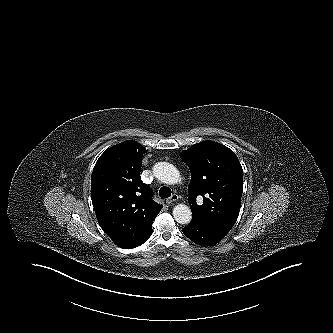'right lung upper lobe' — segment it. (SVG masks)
<instances>
[{
    "instance_id": "obj_1",
    "label": "right lung upper lobe",
    "mask_w": 333,
    "mask_h": 333,
    "mask_svg": "<svg viewBox=\"0 0 333 333\" xmlns=\"http://www.w3.org/2000/svg\"><path fill=\"white\" fill-rule=\"evenodd\" d=\"M146 149L125 141L106 150L97 160L91 179V197L102 230L119 247L140 246L152 234V222L162 206L140 179Z\"/></svg>"
}]
</instances>
